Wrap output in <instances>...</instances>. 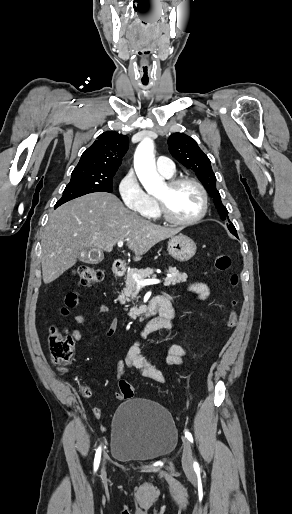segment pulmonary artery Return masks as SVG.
<instances>
[{"instance_id":"e3ab8cb5","label":"pulmonary artery","mask_w":292,"mask_h":514,"mask_svg":"<svg viewBox=\"0 0 292 514\" xmlns=\"http://www.w3.org/2000/svg\"><path fill=\"white\" fill-rule=\"evenodd\" d=\"M176 169L170 156H161L159 159V173L165 178H172Z\"/></svg>"}]
</instances>
